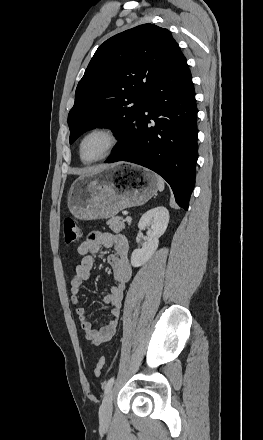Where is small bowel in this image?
<instances>
[{"instance_id":"obj_1","label":"small bowel","mask_w":263,"mask_h":440,"mask_svg":"<svg viewBox=\"0 0 263 440\" xmlns=\"http://www.w3.org/2000/svg\"><path fill=\"white\" fill-rule=\"evenodd\" d=\"M102 248H113L114 252L107 258L112 270L114 284L109 293L103 297V301L110 307L112 319L101 328H96L89 320L84 306H78L76 313L87 340L93 345H101L113 338L117 330V324L121 315L122 299L127 283L131 278L132 268L128 259L129 245L125 236L109 232L93 231L78 246V253L82 259L75 268L71 280L70 299L73 304L81 301L80 290L84 282L91 275L95 266L94 255Z\"/></svg>"}]
</instances>
